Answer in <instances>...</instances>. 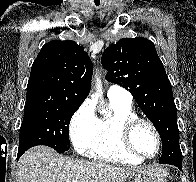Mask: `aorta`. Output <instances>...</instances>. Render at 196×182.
Here are the masks:
<instances>
[{
    "mask_svg": "<svg viewBox=\"0 0 196 182\" xmlns=\"http://www.w3.org/2000/svg\"><path fill=\"white\" fill-rule=\"evenodd\" d=\"M97 89L99 90V91H102V86H101V84H100V81L99 80H97ZM107 114L108 112L107 111H102V114ZM109 114H110V112H109Z\"/></svg>",
    "mask_w": 196,
    "mask_h": 182,
    "instance_id": "obj_1",
    "label": "aorta"
}]
</instances>
